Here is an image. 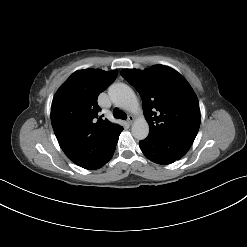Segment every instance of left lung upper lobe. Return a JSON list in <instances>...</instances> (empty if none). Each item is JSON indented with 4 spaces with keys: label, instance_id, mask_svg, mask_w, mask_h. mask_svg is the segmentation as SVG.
Here are the masks:
<instances>
[{
    "label": "left lung upper lobe",
    "instance_id": "left-lung-upper-lobe-1",
    "mask_svg": "<svg viewBox=\"0 0 247 247\" xmlns=\"http://www.w3.org/2000/svg\"><path fill=\"white\" fill-rule=\"evenodd\" d=\"M121 75L142 98L148 137L191 147L201 119L198 99L185 78L163 65L144 71L124 69Z\"/></svg>",
    "mask_w": 247,
    "mask_h": 247
}]
</instances>
